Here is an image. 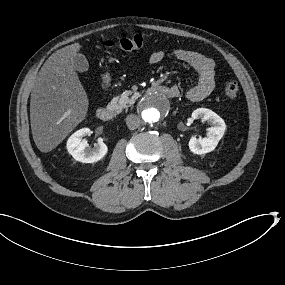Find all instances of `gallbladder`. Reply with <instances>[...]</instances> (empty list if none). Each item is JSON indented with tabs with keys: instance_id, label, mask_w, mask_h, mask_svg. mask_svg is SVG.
<instances>
[{
	"instance_id": "bac80fb5",
	"label": "gallbladder",
	"mask_w": 285,
	"mask_h": 285,
	"mask_svg": "<svg viewBox=\"0 0 285 285\" xmlns=\"http://www.w3.org/2000/svg\"><path fill=\"white\" fill-rule=\"evenodd\" d=\"M73 62L75 70L79 72L87 71L89 68V63L83 54L77 53L73 58Z\"/></svg>"
}]
</instances>
